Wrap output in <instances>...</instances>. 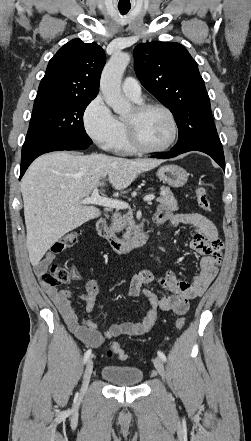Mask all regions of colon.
Wrapping results in <instances>:
<instances>
[{"mask_svg": "<svg viewBox=\"0 0 251 441\" xmlns=\"http://www.w3.org/2000/svg\"><path fill=\"white\" fill-rule=\"evenodd\" d=\"M195 194L198 200L200 207L207 212H210L212 209L210 198L206 192V190L198 186L195 189ZM78 239V234L76 232H68L63 235L57 242H55L51 248L52 252L60 253L71 246H73ZM39 282L42 285H57L61 283H66L73 278H76V274L72 269H66L63 267H59L57 265H52L49 271L45 270L38 274ZM186 324L185 318L180 317L177 319L175 326L178 330L184 328ZM106 354L109 357H118L121 360L127 359V354L121 349L118 343H110L106 348Z\"/></svg>", "mask_w": 251, "mask_h": 441, "instance_id": "5ec220e1", "label": "colon"}]
</instances>
